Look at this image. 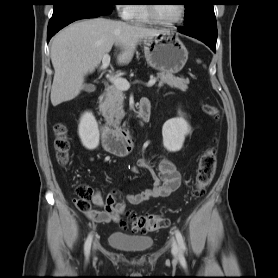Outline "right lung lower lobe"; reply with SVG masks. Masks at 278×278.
Listing matches in <instances>:
<instances>
[{"mask_svg":"<svg viewBox=\"0 0 278 278\" xmlns=\"http://www.w3.org/2000/svg\"><path fill=\"white\" fill-rule=\"evenodd\" d=\"M102 15L103 14L82 9L66 10L59 14L56 18L50 19V22L48 24L47 41L49 42V40L55 33H57L60 29L67 26L71 22H74L79 19L95 18Z\"/></svg>","mask_w":278,"mask_h":278,"instance_id":"1","label":"right lung lower lobe"}]
</instances>
